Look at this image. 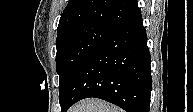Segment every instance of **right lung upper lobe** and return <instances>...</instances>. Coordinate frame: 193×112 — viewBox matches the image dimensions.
Masks as SVG:
<instances>
[{
  "label": "right lung upper lobe",
  "mask_w": 193,
  "mask_h": 112,
  "mask_svg": "<svg viewBox=\"0 0 193 112\" xmlns=\"http://www.w3.org/2000/svg\"><path fill=\"white\" fill-rule=\"evenodd\" d=\"M140 14L137 0H69L57 32L83 25L115 31Z\"/></svg>",
  "instance_id": "cb5924a9"
}]
</instances>
